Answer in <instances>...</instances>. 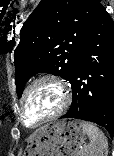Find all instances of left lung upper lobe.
<instances>
[{
  "label": "left lung upper lobe",
  "instance_id": "obj_1",
  "mask_svg": "<svg viewBox=\"0 0 114 156\" xmlns=\"http://www.w3.org/2000/svg\"><path fill=\"white\" fill-rule=\"evenodd\" d=\"M99 0H42L20 31L14 52L18 97L39 72L71 82L80 47L91 27Z\"/></svg>",
  "mask_w": 114,
  "mask_h": 156
}]
</instances>
